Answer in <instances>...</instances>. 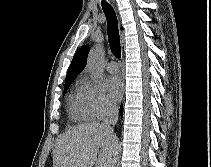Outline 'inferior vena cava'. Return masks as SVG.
<instances>
[{
	"label": "inferior vena cava",
	"instance_id": "1",
	"mask_svg": "<svg viewBox=\"0 0 211 167\" xmlns=\"http://www.w3.org/2000/svg\"><path fill=\"white\" fill-rule=\"evenodd\" d=\"M118 121V108L115 105L109 104L106 109V117L104 119V122L102 125L105 127V129L114 137L116 138V135L114 134L113 127L116 125Z\"/></svg>",
	"mask_w": 211,
	"mask_h": 167
}]
</instances>
